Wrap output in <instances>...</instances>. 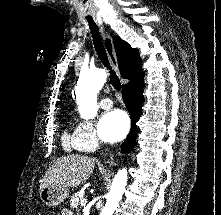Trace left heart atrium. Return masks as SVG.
<instances>
[{"label":"left heart atrium","instance_id":"1","mask_svg":"<svg viewBox=\"0 0 221 215\" xmlns=\"http://www.w3.org/2000/svg\"><path fill=\"white\" fill-rule=\"evenodd\" d=\"M129 126L127 114L120 109H114L105 113L100 119L99 132L105 141L116 142L126 136Z\"/></svg>","mask_w":221,"mask_h":215}]
</instances>
